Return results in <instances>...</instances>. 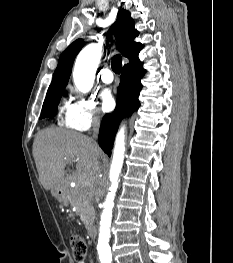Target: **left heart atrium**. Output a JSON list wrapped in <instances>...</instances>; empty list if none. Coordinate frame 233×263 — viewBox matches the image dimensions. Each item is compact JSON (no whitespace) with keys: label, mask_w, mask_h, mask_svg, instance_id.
Here are the masks:
<instances>
[{"label":"left heart atrium","mask_w":233,"mask_h":263,"mask_svg":"<svg viewBox=\"0 0 233 263\" xmlns=\"http://www.w3.org/2000/svg\"><path fill=\"white\" fill-rule=\"evenodd\" d=\"M115 104L114 98L110 90L105 89L101 93V109L104 112H108L113 109Z\"/></svg>","instance_id":"left-heart-atrium-1"}]
</instances>
